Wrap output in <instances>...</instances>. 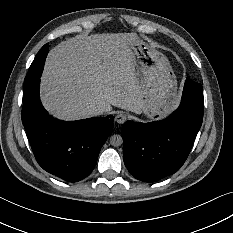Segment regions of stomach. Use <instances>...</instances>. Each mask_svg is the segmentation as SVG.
<instances>
[{
	"label": "stomach",
	"mask_w": 233,
	"mask_h": 233,
	"mask_svg": "<svg viewBox=\"0 0 233 233\" xmlns=\"http://www.w3.org/2000/svg\"><path fill=\"white\" fill-rule=\"evenodd\" d=\"M140 93V111L148 121L163 120L178 106L177 77L168 58L139 37L126 43Z\"/></svg>",
	"instance_id": "0dacf381"
}]
</instances>
